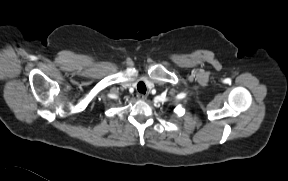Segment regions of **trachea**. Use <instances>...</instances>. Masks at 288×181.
I'll use <instances>...</instances> for the list:
<instances>
[{
	"label": "trachea",
	"mask_w": 288,
	"mask_h": 181,
	"mask_svg": "<svg viewBox=\"0 0 288 181\" xmlns=\"http://www.w3.org/2000/svg\"><path fill=\"white\" fill-rule=\"evenodd\" d=\"M137 89L140 93L145 94L146 93V86L144 82L140 81L137 85Z\"/></svg>",
	"instance_id": "3493384b"
}]
</instances>
